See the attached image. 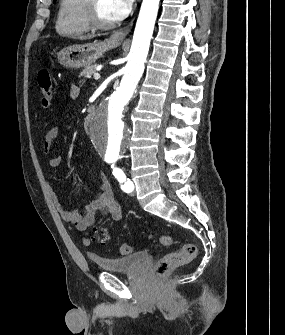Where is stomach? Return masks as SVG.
I'll return each instance as SVG.
<instances>
[{"label": "stomach", "instance_id": "stomach-1", "mask_svg": "<svg viewBox=\"0 0 285 335\" xmlns=\"http://www.w3.org/2000/svg\"><path fill=\"white\" fill-rule=\"evenodd\" d=\"M121 42L105 40V42H93V44H82V46H68L58 52V62L64 68H84L94 64L98 58H102L105 52L120 46Z\"/></svg>", "mask_w": 285, "mask_h": 335}]
</instances>
